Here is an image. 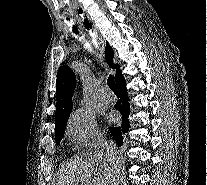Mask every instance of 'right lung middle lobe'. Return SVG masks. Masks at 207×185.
<instances>
[{"label":"right lung middle lobe","instance_id":"1","mask_svg":"<svg viewBox=\"0 0 207 185\" xmlns=\"http://www.w3.org/2000/svg\"><path fill=\"white\" fill-rule=\"evenodd\" d=\"M65 128H66V125L55 129V139H56L57 145H59L62 137L64 136Z\"/></svg>","mask_w":207,"mask_h":185}]
</instances>
